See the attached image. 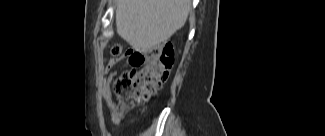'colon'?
I'll return each instance as SVG.
<instances>
[{
	"label": "colon",
	"mask_w": 325,
	"mask_h": 136,
	"mask_svg": "<svg viewBox=\"0 0 325 136\" xmlns=\"http://www.w3.org/2000/svg\"><path fill=\"white\" fill-rule=\"evenodd\" d=\"M114 58H121L123 50L120 45L112 48ZM173 64V48L167 43L153 46L146 54L143 68L131 79L120 93L122 110L131 109L134 103L143 104L154 95L167 81Z\"/></svg>",
	"instance_id": "5ec220e1"
}]
</instances>
